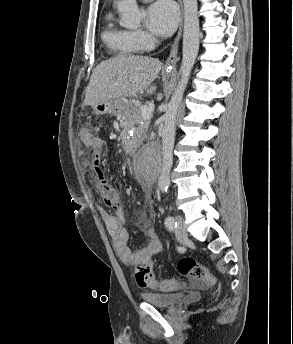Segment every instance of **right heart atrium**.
Returning <instances> with one entry per match:
<instances>
[{"instance_id": "right-heart-atrium-1", "label": "right heart atrium", "mask_w": 293, "mask_h": 344, "mask_svg": "<svg viewBox=\"0 0 293 344\" xmlns=\"http://www.w3.org/2000/svg\"><path fill=\"white\" fill-rule=\"evenodd\" d=\"M132 39L140 50H146L154 46V38L143 30L131 31Z\"/></svg>"}]
</instances>
